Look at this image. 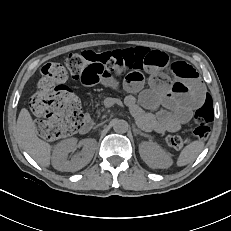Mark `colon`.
Returning a JSON list of instances; mask_svg holds the SVG:
<instances>
[{
  "mask_svg": "<svg viewBox=\"0 0 231 231\" xmlns=\"http://www.w3.org/2000/svg\"><path fill=\"white\" fill-rule=\"evenodd\" d=\"M154 58L149 49L136 47L104 52L83 51L70 54L65 65L55 62L45 64L41 69L37 90L30 99L31 110L42 118L37 124L39 135L46 140H55L80 129L84 117L78 100L65 86L69 75L79 79L90 65L120 72L143 70ZM162 63H167V57L162 58ZM168 70L174 74L176 89L186 91L185 76L179 67L170 65ZM212 118V105L207 101L195 111L193 139L204 140L208 137ZM166 142L174 149H181L191 139L168 135Z\"/></svg>",
  "mask_w": 231,
  "mask_h": 231,
  "instance_id": "colon-1",
  "label": "colon"
}]
</instances>
